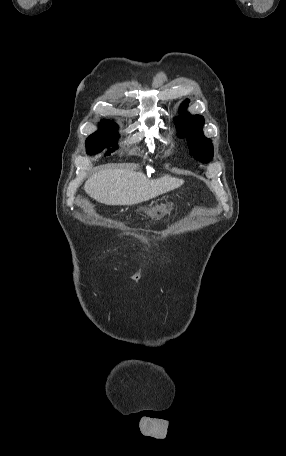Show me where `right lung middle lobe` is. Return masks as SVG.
Segmentation results:
<instances>
[{"mask_svg":"<svg viewBox=\"0 0 286 456\" xmlns=\"http://www.w3.org/2000/svg\"><path fill=\"white\" fill-rule=\"evenodd\" d=\"M117 125L110 120H102L99 123V130L90 135L86 140V149L88 154H96L104 148L112 146L117 142ZM110 150L105 156L110 155Z\"/></svg>","mask_w":286,"mask_h":456,"instance_id":"obj_1","label":"right lung middle lobe"}]
</instances>
